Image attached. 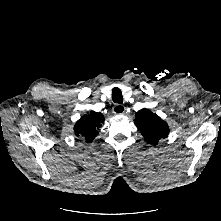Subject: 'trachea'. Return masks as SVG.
<instances>
[{
	"mask_svg": "<svg viewBox=\"0 0 221 221\" xmlns=\"http://www.w3.org/2000/svg\"><path fill=\"white\" fill-rule=\"evenodd\" d=\"M112 100L114 103H118V104L123 103V95H122L121 90L118 87H115L112 90Z\"/></svg>",
	"mask_w": 221,
	"mask_h": 221,
	"instance_id": "3493384b",
	"label": "trachea"
}]
</instances>
